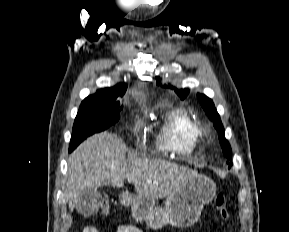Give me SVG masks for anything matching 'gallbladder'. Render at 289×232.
<instances>
[{"mask_svg": "<svg viewBox=\"0 0 289 232\" xmlns=\"http://www.w3.org/2000/svg\"><path fill=\"white\" fill-rule=\"evenodd\" d=\"M102 206V197L98 191H87L80 195L76 206L77 211L84 216H91L98 212Z\"/></svg>", "mask_w": 289, "mask_h": 232, "instance_id": "gallbladder-1", "label": "gallbladder"}]
</instances>
